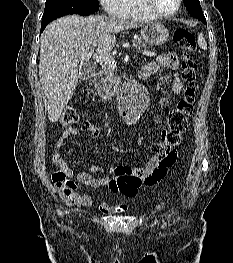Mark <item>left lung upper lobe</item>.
Returning a JSON list of instances; mask_svg holds the SVG:
<instances>
[{"mask_svg": "<svg viewBox=\"0 0 233 263\" xmlns=\"http://www.w3.org/2000/svg\"><path fill=\"white\" fill-rule=\"evenodd\" d=\"M184 3L187 7V9L189 10V13L197 18L198 20L204 22V15L203 12L201 10V6H200V2L199 0H184Z\"/></svg>", "mask_w": 233, "mask_h": 263, "instance_id": "1", "label": "left lung upper lobe"}]
</instances>
